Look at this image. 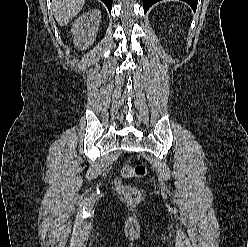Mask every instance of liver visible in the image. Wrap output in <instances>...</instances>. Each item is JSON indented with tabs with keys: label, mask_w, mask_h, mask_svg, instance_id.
<instances>
[{
	"label": "liver",
	"mask_w": 248,
	"mask_h": 247,
	"mask_svg": "<svg viewBox=\"0 0 248 247\" xmlns=\"http://www.w3.org/2000/svg\"><path fill=\"white\" fill-rule=\"evenodd\" d=\"M85 0H53L52 10L60 26L68 24L83 8Z\"/></svg>",
	"instance_id": "1"
}]
</instances>
